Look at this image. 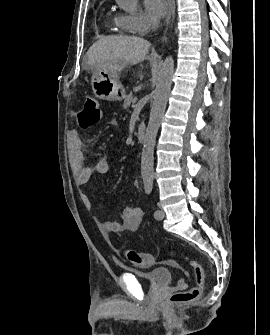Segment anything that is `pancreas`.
Here are the masks:
<instances>
[{
	"label": "pancreas",
	"instance_id": "1",
	"mask_svg": "<svg viewBox=\"0 0 270 335\" xmlns=\"http://www.w3.org/2000/svg\"><path fill=\"white\" fill-rule=\"evenodd\" d=\"M132 102H135V99L133 98L132 94H128L124 100L123 108L126 110V108L132 104Z\"/></svg>",
	"mask_w": 270,
	"mask_h": 335
}]
</instances>
